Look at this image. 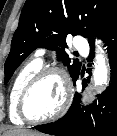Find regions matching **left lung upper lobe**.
<instances>
[{
    "label": "left lung upper lobe",
    "mask_w": 117,
    "mask_h": 136,
    "mask_svg": "<svg viewBox=\"0 0 117 136\" xmlns=\"http://www.w3.org/2000/svg\"><path fill=\"white\" fill-rule=\"evenodd\" d=\"M117 18V0H27L4 65L5 84L15 69L36 48L57 50L74 80L81 63L71 62L63 47L68 34L81 35L94 43ZM58 46L62 48H58Z\"/></svg>",
    "instance_id": "5c2ea615"
}]
</instances>
